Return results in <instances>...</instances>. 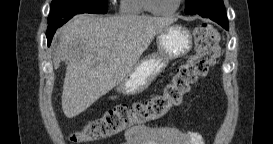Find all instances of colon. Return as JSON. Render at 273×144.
<instances>
[{
	"label": "colon",
	"instance_id": "1",
	"mask_svg": "<svg viewBox=\"0 0 273 144\" xmlns=\"http://www.w3.org/2000/svg\"><path fill=\"white\" fill-rule=\"evenodd\" d=\"M194 40V54L178 67L159 93L146 100L113 107L76 132L74 142L103 140L131 128L145 126L180 105L191 87L207 75L220 54L219 34L213 26L199 25L194 30Z\"/></svg>",
	"mask_w": 273,
	"mask_h": 144
}]
</instances>
